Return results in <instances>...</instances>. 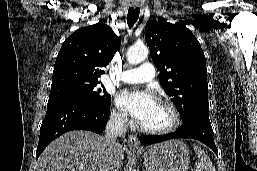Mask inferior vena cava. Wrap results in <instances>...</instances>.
Segmentation results:
<instances>
[{
	"instance_id": "602c4592",
	"label": "inferior vena cava",
	"mask_w": 257,
	"mask_h": 171,
	"mask_svg": "<svg viewBox=\"0 0 257 171\" xmlns=\"http://www.w3.org/2000/svg\"><path fill=\"white\" fill-rule=\"evenodd\" d=\"M127 116L124 114H113L106 126V158L103 171H119L116 166L117 137L125 136L127 131Z\"/></svg>"
}]
</instances>
